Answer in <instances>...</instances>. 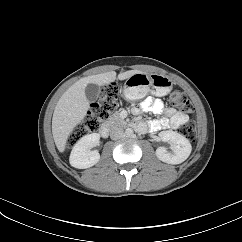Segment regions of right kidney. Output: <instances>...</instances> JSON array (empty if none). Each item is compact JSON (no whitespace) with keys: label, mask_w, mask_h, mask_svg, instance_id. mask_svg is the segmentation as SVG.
Returning a JSON list of instances; mask_svg holds the SVG:
<instances>
[{"label":"right kidney","mask_w":242,"mask_h":242,"mask_svg":"<svg viewBox=\"0 0 242 242\" xmlns=\"http://www.w3.org/2000/svg\"><path fill=\"white\" fill-rule=\"evenodd\" d=\"M99 140L100 135L98 133L83 136L71 151L69 158L71 166L86 169L95 165L100 159V154L97 150L91 151L90 149L97 146Z\"/></svg>","instance_id":"ca27d5eb"}]
</instances>
